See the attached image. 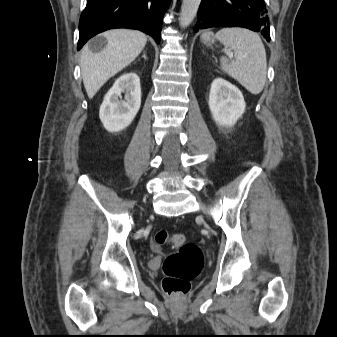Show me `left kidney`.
<instances>
[{
  "mask_svg": "<svg viewBox=\"0 0 337 337\" xmlns=\"http://www.w3.org/2000/svg\"><path fill=\"white\" fill-rule=\"evenodd\" d=\"M208 105L216 124L226 127L234 126L246 107L241 91L222 78L212 82Z\"/></svg>",
  "mask_w": 337,
  "mask_h": 337,
  "instance_id": "1",
  "label": "left kidney"
}]
</instances>
